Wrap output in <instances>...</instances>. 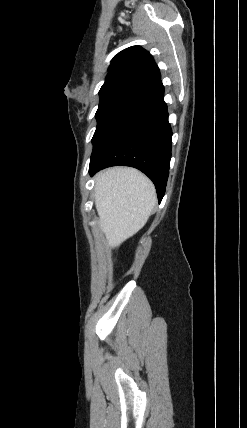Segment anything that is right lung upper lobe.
<instances>
[{
  "label": "right lung upper lobe",
  "instance_id": "1",
  "mask_svg": "<svg viewBox=\"0 0 247 428\" xmlns=\"http://www.w3.org/2000/svg\"><path fill=\"white\" fill-rule=\"evenodd\" d=\"M160 79L159 68L150 53L140 46H132L113 58L99 93L127 90L140 94Z\"/></svg>",
  "mask_w": 247,
  "mask_h": 428
}]
</instances>
